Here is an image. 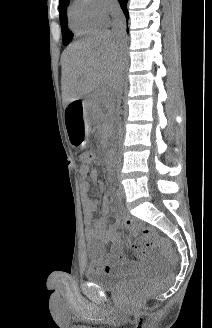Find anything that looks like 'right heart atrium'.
<instances>
[{"instance_id":"d8ad5b80","label":"right heart atrium","mask_w":212,"mask_h":328,"mask_svg":"<svg viewBox=\"0 0 212 328\" xmlns=\"http://www.w3.org/2000/svg\"><path fill=\"white\" fill-rule=\"evenodd\" d=\"M92 15L103 23L109 21L110 15L116 10V0H87Z\"/></svg>"}]
</instances>
